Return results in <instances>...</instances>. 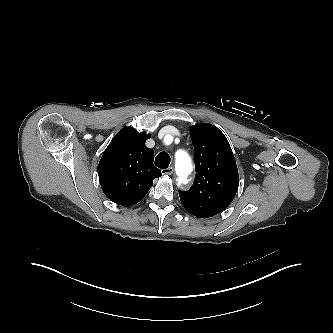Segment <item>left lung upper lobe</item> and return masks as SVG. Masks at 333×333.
<instances>
[{"instance_id": "1", "label": "left lung upper lobe", "mask_w": 333, "mask_h": 333, "mask_svg": "<svg viewBox=\"0 0 333 333\" xmlns=\"http://www.w3.org/2000/svg\"><path fill=\"white\" fill-rule=\"evenodd\" d=\"M195 149L196 177L188 191H179L188 213L216 215L235 197L239 175L225 135L214 125L202 123L190 128Z\"/></svg>"}]
</instances>
